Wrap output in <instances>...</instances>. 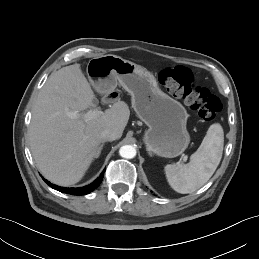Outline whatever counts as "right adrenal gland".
<instances>
[{
	"label": "right adrenal gland",
	"mask_w": 259,
	"mask_h": 259,
	"mask_svg": "<svg viewBox=\"0 0 259 259\" xmlns=\"http://www.w3.org/2000/svg\"><path fill=\"white\" fill-rule=\"evenodd\" d=\"M103 146H104V143H102L99 147V151H98V155H97V158L99 157L100 153H101V150L103 149Z\"/></svg>",
	"instance_id": "2a0ac1e0"
}]
</instances>
